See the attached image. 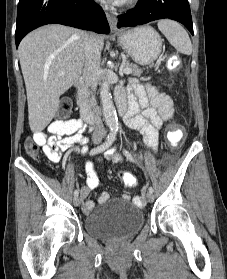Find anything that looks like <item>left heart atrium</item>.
<instances>
[{"label":"left heart atrium","instance_id":"obj_1","mask_svg":"<svg viewBox=\"0 0 227 279\" xmlns=\"http://www.w3.org/2000/svg\"><path fill=\"white\" fill-rule=\"evenodd\" d=\"M108 1H111L113 3H122L124 0H108Z\"/></svg>","mask_w":227,"mask_h":279}]
</instances>
